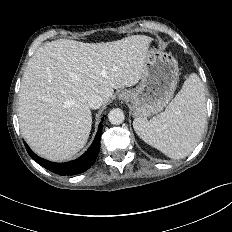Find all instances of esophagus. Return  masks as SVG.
<instances>
[{
    "instance_id": "obj_1",
    "label": "esophagus",
    "mask_w": 232,
    "mask_h": 232,
    "mask_svg": "<svg viewBox=\"0 0 232 232\" xmlns=\"http://www.w3.org/2000/svg\"><path fill=\"white\" fill-rule=\"evenodd\" d=\"M119 100L125 101L129 98V94L126 91H122L119 94Z\"/></svg>"
}]
</instances>
